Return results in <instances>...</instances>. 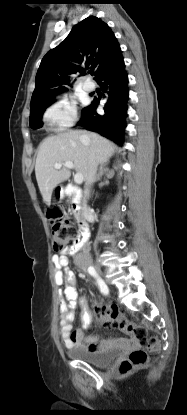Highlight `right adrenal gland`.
I'll use <instances>...</instances> for the list:
<instances>
[{
    "label": "right adrenal gland",
    "instance_id": "obj_1",
    "mask_svg": "<svg viewBox=\"0 0 187 415\" xmlns=\"http://www.w3.org/2000/svg\"><path fill=\"white\" fill-rule=\"evenodd\" d=\"M108 163H102L100 165L99 173L97 174L94 182H98L101 180V177L104 175V173L108 172L109 169L107 168ZM110 172V171H109Z\"/></svg>",
    "mask_w": 187,
    "mask_h": 415
}]
</instances>
